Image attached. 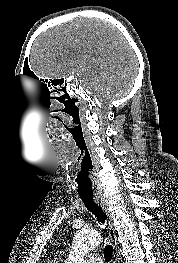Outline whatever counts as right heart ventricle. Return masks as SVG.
<instances>
[{"label": "right heart ventricle", "mask_w": 178, "mask_h": 263, "mask_svg": "<svg viewBox=\"0 0 178 263\" xmlns=\"http://www.w3.org/2000/svg\"><path fill=\"white\" fill-rule=\"evenodd\" d=\"M51 263H58V262H56V261H52Z\"/></svg>", "instance_id": "e07e8e85"}]
</instances>
